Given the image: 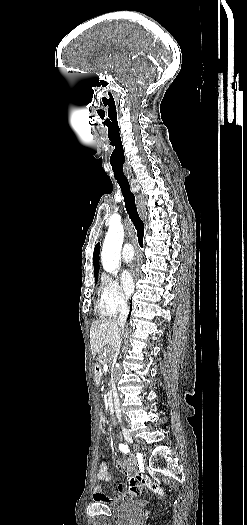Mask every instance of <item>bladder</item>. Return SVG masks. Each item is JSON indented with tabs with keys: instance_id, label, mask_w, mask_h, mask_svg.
I'll list each match as a JSON object with an SVG mask.
<instances>
[{
	"instance_id": "obj_1",
	"label": "bladder",
	"mask_w": 247,
	"mask_h": 525,
	"mask_svg": "<svg viewBox=\"0 0 247 525\" xmlns=\"http://www.w3.org/2000/svg\"><path fill=\"white\" fill-rule=\"evenodd\" d=\"M115 505H116L115 503H107V506L110 509H113Z\"/></svg>"
}]
</instances>
